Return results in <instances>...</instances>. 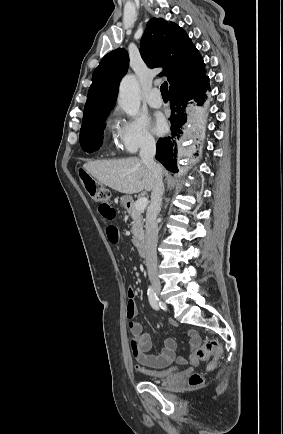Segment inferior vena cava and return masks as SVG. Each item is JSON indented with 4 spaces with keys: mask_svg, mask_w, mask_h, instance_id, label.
<instances>
[{
    "mask_svg": "<svg viewBox=\"0 0 283 434\" xmlns=\"http://www.w3.org/2000/svg\"><path fill=\"white\" fill-rule=\"evenodd\" d=\"M156 152V143L153 138L145 139L139 156L145 165L153 172L155 184L151 193V203L146 214V265L150 281L159 283L157 273V242L158 226L156 218L161 210L162 196L164 193V184L162 181V169L154 161Z\"/></svg>",
    "mask_w": 283,
    "mask_h": 434,
    "instance_id": "obj_1",
    "label": "inferior vena cava"
}]
</instances>
